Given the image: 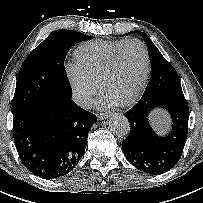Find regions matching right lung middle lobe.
I'll return each instance as SVG.
<instances>
[{
    "label": "right lung middle lobe",
    "instance_id": "obj_1",
    "mask_svg": "<svg viewBox=\"0 0 203 203\" xmlns=\"http://www.w3.org/2000/svg\"><path fill=\"white\" fill-rule=\"evenodd\" d=\"M91 39L71 30L51 32L21 67L12 103L13 116L45 101L72 98L64 60L73 45Z\"/></svg>",
    "mask_w": 203,
    "mask_h": 203
}]
</instances>
